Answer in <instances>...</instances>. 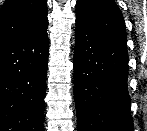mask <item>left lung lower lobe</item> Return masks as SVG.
Here are the masks:
<instances>
[{
	"label": "left lung lower lobe",
	"instance_id": "0a47b994",
	"mask_svg": "<svg viewBox=\"0 0 147 131\" xmlns=\"http://www.w3.org/2000/svg\"><path fill=\"white\" fill-rule=\"evenodd\" d=\"M128 70L125 43L76 21L74 96L78 131H133Z\"/></svg>",
	"mask_w": 147,
	"mask_h": 131
}]
</instances>
